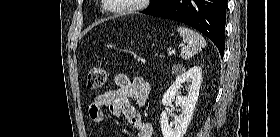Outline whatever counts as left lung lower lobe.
<instances>
[{
	"label": "left lung lower lobe",
	"mask_w": 280,
	"mask_h": 137,
	"mask_svg": "<svg viewBox=\"0 0 280 137\" xmlns=\"http://www.w3.org/2000/svg\"><path fill=\"white\" fill-rule=\"evenodd\" d=\"M227 0H163L145 14L185 23L207 36L224 54Z\"/></svg>",
	"instance_id": "0a47b994"
}]
</instances>
